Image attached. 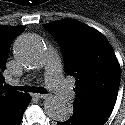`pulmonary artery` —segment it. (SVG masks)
Returning a JSON list of instances; mask_svg holds the SVG:
<instances>
[{
    "instance_id": "pulmonary-artery-1",
    "label": "pulmonary artery",
    "mask_w": 125,
    "mask_h": 125,
    "mask_svg": "<svg viewBox=\"0 0 125 125\" xmlns=\"http://www.w3.org/2000/svg\"><path fill=\"white\" fill-rule=\"evenodd\" d=\"M46 80L61 99L71 101L75 98L73 89L66 83L60 73V64L57 58L48 57L46 61Z\"/></svg>"
}]
</instances>
